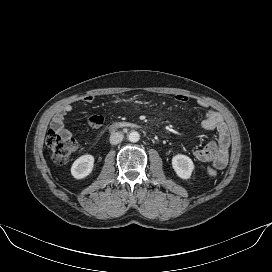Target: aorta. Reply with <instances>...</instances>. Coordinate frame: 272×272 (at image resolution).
Returning a JSON list of instances; mask_svg holds the SVG:
<instances>
[{"label": "aorta", "instance_id": "aorta-1", "mask_svg": "<svg viewBox=\"0 0 272 272\" xmlns=\"http://www.w3.org/2000/svg\"><path fill=\"white\" fill-rule=\"evenodd\" d=\"M139 139H140V135H139V133L137 131H131L129 133V135H128V140L130 142H134L135 143V142H138Z\"/></svg>", "mask_w": 272, "mask_h": 272}]
</instances>
